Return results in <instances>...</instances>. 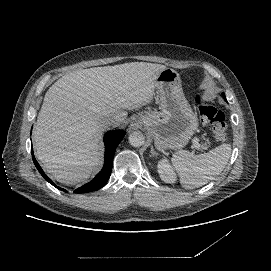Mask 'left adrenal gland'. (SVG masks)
<instances>
[{
  "mask_svg": "<svg viewBox=\"0 0 271 271\" xmlns=\"http://www.w3.org/2000/svg\"><path fill=\"white\" fill-rule=\"evenodd\" d=\"M158 155V153L154 150L153 146H151V155L150 156H155Z\"/></svg>",
  "mask_w": 271,
  "mask_h": 271,
  "instance_id": "1",
  "label": "left adrenal gland"
}]
</instances>
